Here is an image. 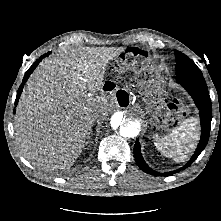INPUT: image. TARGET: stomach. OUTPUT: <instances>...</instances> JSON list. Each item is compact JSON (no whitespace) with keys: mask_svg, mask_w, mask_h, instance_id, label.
<instances>
[{"mask_svg":"<svg viewBox=\"0 0 221 221\" xmlns=\"http://www.w3.org/2000/svg\"><path fill=\"white\" fill-rule=\"evenodd\" d=\"M141 94L146 104V111L152 115V124L156 128L165 127L168 121H172L170 111H168L166 91L164 90V78L161 76V69L157 65L151 67V75L147 81L139 84ZM167 110V112H164ZM181 118L179 111L174 112ZM160 118L162 121H160ZM162 122V123H161Z\"/></svg>","mask_w":221,"mask_h":221,"instance_id":"0dacf381","label":"stomach"}]
</instances>
